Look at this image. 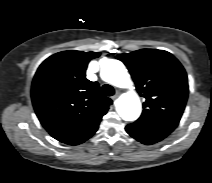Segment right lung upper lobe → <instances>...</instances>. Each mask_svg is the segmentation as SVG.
Listing matches in <instances>:
<instances>
[{"label":"right lung upper lobe","instance_id":"1","mask_svg":"<svg viewBox=\"0 0 212 183\" xmlns=\"http://www.w3.org/2000/svg\"><path fill=\"white\" fill-rule=\"evenodd\" d=\"M100 53L62 51L47 58L38 68L31 97L35 112L52 137L78 145L98 129L112 104L97 82L85 77L88 62Z\"/></svg>","mask_w":212,"mask_h":183}]
</instances>
